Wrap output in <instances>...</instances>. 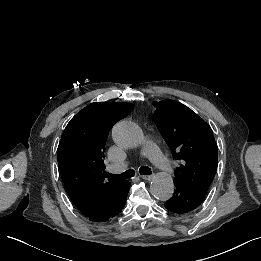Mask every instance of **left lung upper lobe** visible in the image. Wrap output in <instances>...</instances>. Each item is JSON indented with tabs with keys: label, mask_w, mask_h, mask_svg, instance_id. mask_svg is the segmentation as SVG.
<instances>
[{
	"label": "left lung upper lobe",
	"mask_w": 261,
	"mask_h": 261,
	"mask_svg": "<svg viewBox=\"0 0 261 261\" xmlns=\"http://www.w3.org/2000/svg\"><path fill=\"white\" fill-rule=\"evenodd\" d=\"M158 130L181 162L174 182L206 194L217 169L218 150L211 127L187 106L174 100L154 102Z\"/></svg>",
	"instance_id": "5c2ea615"
}]
</instances>
